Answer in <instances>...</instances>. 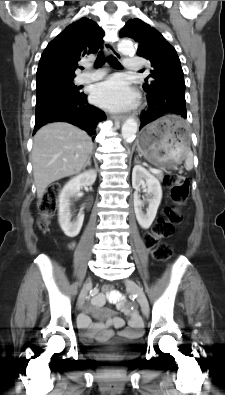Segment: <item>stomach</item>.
Wrapping results in <instances>:
<instances>
[{"label": "stomach", "instance_id": "1", "mask_svg": "<svg viewBox=\"0 0 225 395\" xmlns=\"http://www.w3.org/2000/svg\"><path fill=\"white\" fill-rule=\"evenodd\" d=\"M183 120L165 115L143 129L137 141L138 151L154 165L179 163L189 151V136Z\"/></svg>", "mask_w": 225, "mask_h": 395}]
</instances>
